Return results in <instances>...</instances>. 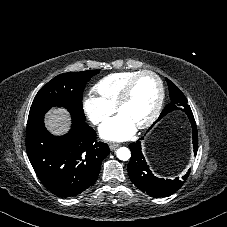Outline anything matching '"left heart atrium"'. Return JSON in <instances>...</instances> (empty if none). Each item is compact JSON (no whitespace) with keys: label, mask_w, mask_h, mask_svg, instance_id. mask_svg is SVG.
<instances>
[{"label":"left heart atrium","mask_w":227,"mask_h":227,"mask_svg":"<svg viewBox=\"0 0 227 227\" xmlns=\"http://www.w3.org/2000/svg\"><path fill=\"white\" fill-rule=\"evenodd\" d=\"M100 136L109 141H121L130 138L135 125L124 115L118 114L106 120L99 129Z\"/></svg>","instance_id":"1"}]
</instances>
